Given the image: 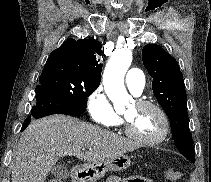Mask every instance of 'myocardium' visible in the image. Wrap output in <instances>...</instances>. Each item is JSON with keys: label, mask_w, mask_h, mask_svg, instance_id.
<instances>
[{"label": "myocardium", "mask_w": 211, "mask_h": 182, "mask_svg": "<svg viewBox=\"0 0 211 182\" xmlns=\"http://www.w3.org/2000/svg\"><path fill=\"white\" fill-rule=\"evenodd\" d=\"M135 104L138 107H142V108L148 107V108H152L156 110L162 119L163 128H162V131L156 137L151 138V139H144V138L139 137L132 131L129 121L124 117L123 123H124L125 134L129 138L134 140L135 142L142 145L152 146V145H157L163 142L168 137L170 133V129H171L170 120L167 113L164 111V109L160 105L148 100H138Z\"/></svg>", "instance_id": "f54148a6"}]
</instances>
